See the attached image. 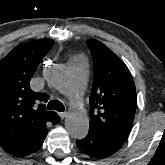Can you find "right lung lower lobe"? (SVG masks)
Here are the masks:
<instances>
[{"label":"right lung lower lobe","instance_id":"98d812e1","mask_svg":"<svg viewBox=\"0 0 165 165\" xmlns=\"http://www.w3.org/2000/svg\"><path fill=\"white\" fill-rule=\"evenodd\" d=\"M59 122H60V117L57 116V118L53 121L52 124L55 125ZM47 132L48 131L46 129L40 136L23 143L18 149L10 152V154L21 157V156H26V155L36 152L43 145V141L47 135Z\"/></svg>","mask_w":165,"mask_h":165}]
</instances>
